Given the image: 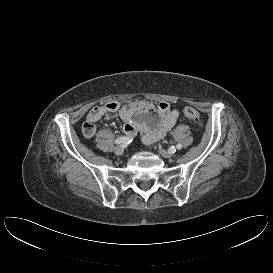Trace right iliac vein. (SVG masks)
Instances as JSON below:
<instances>
[{
    "instance_id": "obj_1",
    "label": "right iliac vein",
    "mask_w": 273,
    "mask_h": 273,
    "mask_svg": "<svg viewBox=\"0 0 273 273\" xmlns=\"http://www.w3.org/2000/svg\"><path fill=\"white\" fill-rule=\"evenodd\" d=\"M114 152L116 155H122L123 152H124V148L122 146H117L115 149H114Z\"/></svg>"
}]
</instances>
